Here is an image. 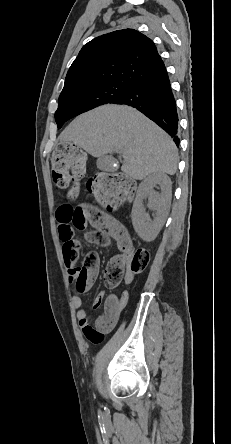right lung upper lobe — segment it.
Segmentation results:
<instances>
[{"label": "right lung upper lobe", "mask_w": 231, "mask_h": 444, "mask_svg": "<svg viewBox=\"0 0 231 444\" xmlns=\"http://www.w3.org/2000/svg\"><path fill=\"white\" fill-rule=\"evenodd\" d=\"M165 71L151 39L134 29L118 30L83 46L67 73L62 92L107 83L133 86Z\"/></svg>", "instance_id": "obj_1"}]
</instances>
